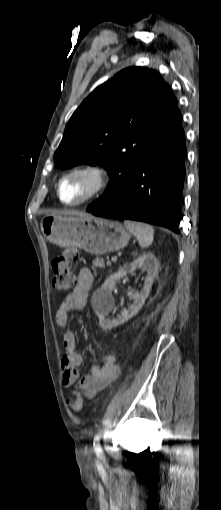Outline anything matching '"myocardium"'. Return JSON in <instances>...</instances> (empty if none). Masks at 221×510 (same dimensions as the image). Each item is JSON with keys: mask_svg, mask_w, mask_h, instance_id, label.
Segmentation results:
<instances>
[{"mask_svg": "<svg viewBox=\"0 0 221 510\" xmlns=\"http://www.w3.org/2000/svg\"><path fill=\"white\" fill-rule=\"evenodd\" d=\"M74 175H84L89 177L91 180V188L82 199L74 202H66L63 200L61 195L62 186L68 178ZM108 182L109 177L106 169L98 163L89 162L73 166L62 175L58 182V199L62 204L70 207L84 205L98 198L106 190Z\"/></svg>", "mask_w": 221, "mask_h": 510, "instance_id": "1", "label": "myocardium"}]
</instances>
